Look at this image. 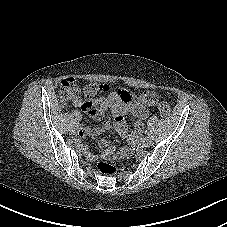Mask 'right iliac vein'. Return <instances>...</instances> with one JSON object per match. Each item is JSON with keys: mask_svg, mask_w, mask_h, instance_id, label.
<instances>
[{"mask_svg": "<svg viewBox=\"0 0 227 227\" xmlns=\"http://www.w3.org/2000/svg\"><path fill=\"white\" fill-rule=\"evenodd\" d=\"M71 133H72L73 135H76V133H77V128H73V129L71 130Z\"/></svg>", "mask_w": 227, "mask_h": 227, "instance_id": "1", "label": "right iliac vein"}]
</instances>
